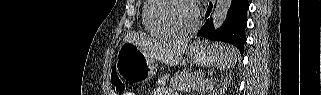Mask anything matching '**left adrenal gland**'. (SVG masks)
<instances>
[{
  "label": "left adrenal gland",
  "mask_w": 321,
  "mask_h": 95,
  "mask_svg": "<svg viewBox=\"0 0 321 95\" xmlns=\"http://www.w3.org/2000/svg\"><path fill=\"white\" fill-rule=\"evenodd\" d=\"M229 82H230V81H227V80L224 81V87H225V88L228 86Z\"/></svg>",
  "instance_id": "obj_1"
}]
</instances>
